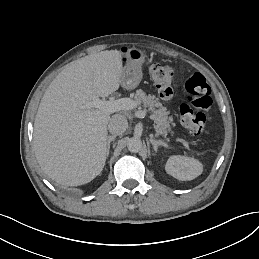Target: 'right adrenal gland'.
<instances>
[{
	"label": "right adrenal gland",
	"mask_w": 259,
	"mask_h": 259,
	"mask_svg": "<svg viewBox=\"0 0 259 259\" xmlns=\"http://www.w3.org/2000/svg\"><path fill=\"white\" fill-rule=\"evenodd\" d=\"M114 140H115V136L107 137V158L109 156L110 144L111 142H114Z\"/></svg>",
	"instance_id": "right-adrenal-gland-1"
}]
</instances>
